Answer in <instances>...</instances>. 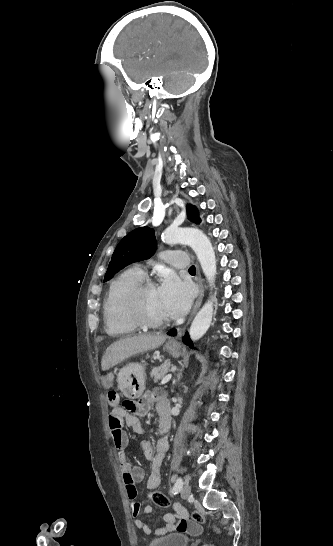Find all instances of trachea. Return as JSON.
<instances>
[{"label":"trachea","instance_id":"obj_1","mask_svg":"<svg viewBox=\"0 0 333 546\" xmlns=\"http://www.w3.org/2000/svg\"><path fill=\"white\" fill-rule=\"evenodd\" d=\"M189 272H196V268L194 265L189 268Z\"/></svg>","mask_w":333,"mask_h":546}]
</instances>
